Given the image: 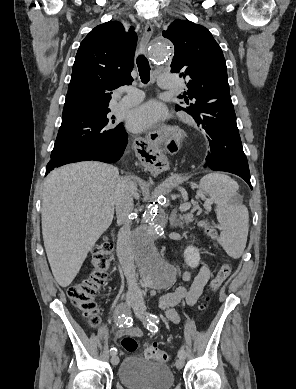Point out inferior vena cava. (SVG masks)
Returning <instances> with one entry per match:
<instances>
[{
  "label": "inferior vena cava",
  "mask_w": 296,
  "mask_h": 389,
  "mask_svg": "<svg viewBox=\"0 0 296 389\" xmlns=\"http://www.w3.org/2000/svg\"><path fill=\"white\" fill-rule=\"evenodd\" d=\"M134 185L126 177H119L115 188V209L117 220L123 226L118 234L119 259L127 279V298L131 300H142L141 291L135 278L134 261L130 252L131 244V220L133 212Z\"/></svg>",
  "instance_id": "602c4592"
}]
</instances>
